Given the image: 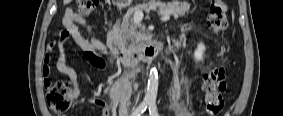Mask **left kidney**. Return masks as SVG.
<instances>
[{
	"instance_id": "obj_1",
	"label": "left kidney",
	"mask_w": 283,
	"mask_h": 116,
	"mask_svg": "<svg viewBox=\"0 0 283 116\" xmlns=\"http://www.w3.org/2000/svg\"><path fill=\"white\" fill-rule=\"evenodd\" d=\"M205 51V45L203 43H199L197 49L194 52V58L196 61L203 60V53Z\"/></svg>"
}]
</instances>
